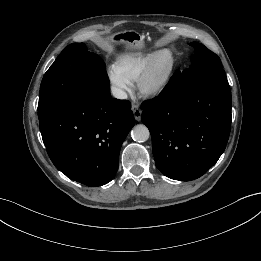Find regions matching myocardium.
Masks as SVG:
<instances>
[{
    "mask_svg": "<svg viewBox=\"0 0 261 261\" xmlns=\"http://www.w3.org/2000/svg\"><path fill=\"white\" fill-rule=\"evenodd\" d=\"M168 54L170 63L168 68L160 75L155 74V65L158 59ZM176 66L174 53L170 49H161L155 52L143 73L137 80V90L144 97H157L168 87Z\"/></svg>",
    "mask_w": 261,
    "mask_h": 261,
    "instance_id": "obj_1",
    "label": "myocardium"
}]
</instances>
